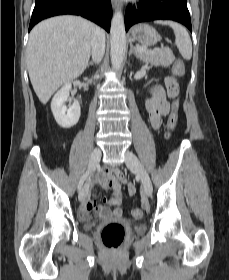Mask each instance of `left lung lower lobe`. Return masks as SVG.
<instances>
[{
	"label": "left lung lower lobe",
	"mask_w": 229,
	"mask_h": 280,
	"mask_svg": "<svg viewBox=\"0 0 229 280\" xmlns=\"http://www.w3.org/2000/svg\"><path fill=\"white\" fill-rule=\"evenodd\" d=\"M159 19L180 22L192 32L186 0H143L137 8L128 6L125 28L127 31L134 24Z\"/></svg>",
	"instance_id": "left-lung-lower-lobe-1"
}]
</instances>
